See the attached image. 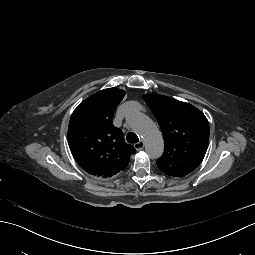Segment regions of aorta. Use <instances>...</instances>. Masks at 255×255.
I'll use <instances>...</instances> for the list:
<instances>
[{
	"instance_id": "1",
	"label": "aorta",
	"mask_w": 255,
	"mask_h": 255,
	"mask_svg": "<svg viewBox=\"0 0 255 255\" xmlns=\"http://www.w3.org/2000/svg\"><path fill=\"white\" fill-rule=\"evenodd\" d=\"M128 122L132 129L143 137L148 156L159 158L163 154L164 143L162 134L155 123L140 112L131 113Z\"/></svg>"
}]
</instances>
